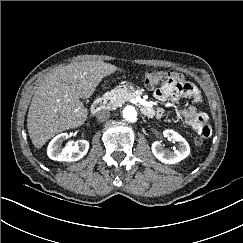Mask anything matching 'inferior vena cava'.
Masks as SVG:
<instances>
[{
	"mask_svg": "<svg viewBox=\"0 0 243 243\" xmlns=\"http://www.w3.org/2000/svg\"><path fill=\"white\" fill-rule=\"evenodd\" d=\"M110 117V112L107 109H101L96 113V118L98 121H106Z\"/></svg>",
	"mask_w": 243,
	"mask_h": 243,
	"instance_id": "1",
	"label": "inferior vena cava"
}]
</instances>
